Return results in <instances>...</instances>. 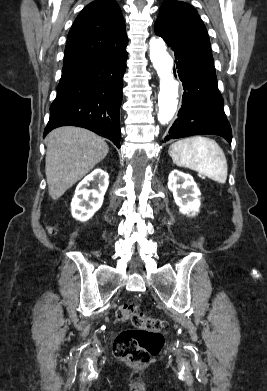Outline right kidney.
Masks as SVG:
<instances>
[{"mask_svg":"<svg viewBox=\"0 0 267 391\" xmlns=\"http://www.w3.org/2000/svg\"><path fill=\"white\" fill-rule=\"evenodd\" d=\"M91 182L97 186L88 190L87 187ZM108 185L109 176L101 169H96L86 176L75 190V195L71 202L72 216L79 221L90 219L102 206Z\"/></svg>","mask_w":267,"mask_h":391,"instance_id":"ca27d5eb","label":"right kidney"}]
</instances>
